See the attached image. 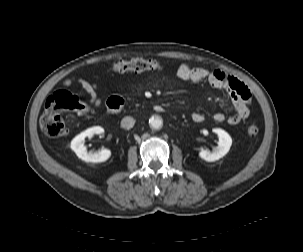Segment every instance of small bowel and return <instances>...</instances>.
<instances>
[{
	"instance_id": "obj_1",
	"label": "small bowel",
	"mask_w": 303,
	"mask_h": 252,
	"mask_svg": "<svg viewBox=\"0 0 303 252\" xmlns=\"http://www.w3.org/2000/svg\"><path fill=\"white\" fill-rule=\"evenodd\" d=\"M176 74L180 79L185 81L193 83L204 81L211 88L222 90L228 94L235 107L236 113L226 116L223 112H216L213 115V120L215 122H228L231 125H236L248 116V104L251 101V92L238 80L222 76L202 67L188 64H180L176 68ZM74 83L79 84L89 94V105L92 107H99L103 103V96L101 95L97 84L83 78L73 77L65 80L63 82V87H70ZM192 120L196 123H201L205 120V116L199 112H194L192 114Z\"/></svg>"
}]
</instances>
